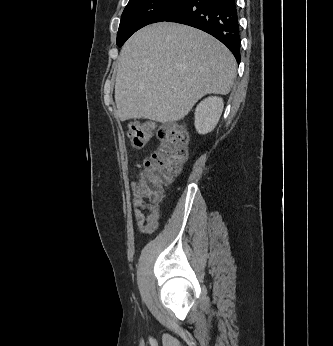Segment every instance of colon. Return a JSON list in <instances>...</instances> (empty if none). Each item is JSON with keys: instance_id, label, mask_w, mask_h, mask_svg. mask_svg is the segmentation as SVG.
<instances>
[{"instance_id": "colon-1", "label": "colon", "mask_w": 333, "mask_h": 346, "mask_svg": "<svg viewBox=\"0 0 333 346\" xmlns=\"http://www.w3.org/2000/svg\"><path fill=\"white\" fill-rule=\"evenodd\" d=\"M151 123H131L128 135L134 148H143L152 136ZM160 144L145 160L138 182V192L149 204H158L164 187L180 172L187 158L186 136L178 126L168 124L159 133Z\"/></svg>"}]
</instances>
